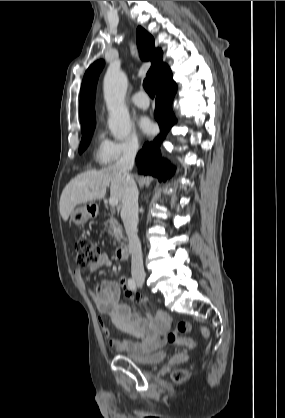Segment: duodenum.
Masks as SVG:
<instances>
[{
  "label": "duodenum",
  "instance_id": "1",
  "mask_svg": "<svg viewBox=\"0 0 285 418\" xmlns=\"http://www.w3.org/2000/svg\"><path fill=\"white\" fill-rule=\"evenodd\" d=\"M117 258L120 260H126L130 256V247L128 245H122L117 248L116 251Z\"/></svg>",
  "mask_w": 285,
  "mask_h": 418
}]
</instances>
